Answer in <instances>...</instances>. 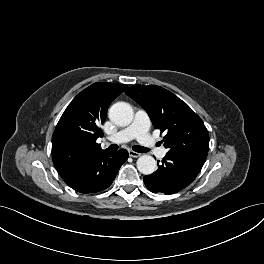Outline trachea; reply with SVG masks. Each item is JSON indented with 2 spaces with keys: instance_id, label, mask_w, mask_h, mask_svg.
I'll return each mask as SVG.
<instances>
[{
  "instance_id": "1",
  "label": "trachea",
  "mask_w": 264,
  "mask_h": 264,
  "mask_svg": "<svg viewBox=\"0 0 264 264\" xmlns=\"http://www.w3.org/2000/svg\"><path fill=\"white\" fill-rule=\"evenodd\" d=\"M109 149L117 150L118 146L116 144H112V145L109 146ZM133 150L138 152V153H146V152L149 151L147 148L142 147V146H133Z\"/></svg>"
}]
</instances>
